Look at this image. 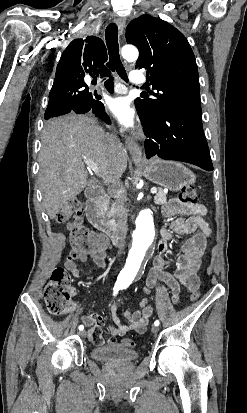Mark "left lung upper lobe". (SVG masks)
<instances>
[{"mask_svg": "<svg viewBox=\"0 0 247 413\" xmlns=\"http://www.w3.org/2000/svg\"><path fill=\"white\" fill-rule=\"evenodd\" d=\"M126 40L139 49L136 68L147 70L156 90L135 100L140 119L153 122L164 111L201 117L198 69L185 36L160 18L143 15L127 26Z\"/></svg>", "mask_w": 247, "mask_h": 413, "instance_id": "left-lung-upper-lobe-1", "label": "left lung upper lobe"}]
</instances>
